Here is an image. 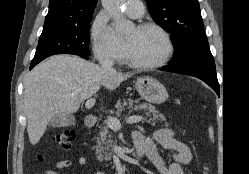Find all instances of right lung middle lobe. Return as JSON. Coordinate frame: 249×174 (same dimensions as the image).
<instances>
[{"instance_id":"obj_1","label":"right lung middle lobe","mask_w":249,"mask_h":174,"mask_svg":"<svg viewBox=\"0 0 249 174\" xmlns=\"http://www.w3.org/2000/svg\"><path fill=\"white\" fill-rule=\"evenodd\" d=\"M91 20L43 30L32 62L42 61L55 54L90 55L88 43Z\"/></svg>"}]
</instances>
